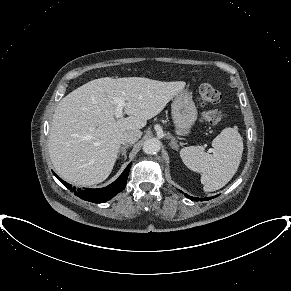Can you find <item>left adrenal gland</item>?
I'll list each match as a JSON object with an SVG mask.
<instances>
[{
	"instance_id": "a2214340",
	"label": "left adrenal gland",
	"mask_w": 291,
	"mask_h": 291,
	"mask_svg": "<svg viewBox=\"0 0 291 291\" xmlns=\"http://www.w3.org/2000/svg\"><path fill=\"white\" fill-rule=\"evenodd\" d=\"M167 138L168 139H171V142H170V146L175 149V150H178V144H177V141L175 139L174 136H172L170 133L167 134Z\"/></svg>"
}]
</instances>
